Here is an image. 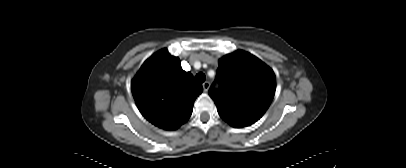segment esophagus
Instances as JSON below:
<instances>
[{
  "label": "esophagus",
  "mask_w": 406,
  "mask_h": 168,
  "mask_svg": "<svg viewBox=\"0 0 406 168\" xmlns=\"http://www.w3.org/2000/svg\"><path fill=\"white\" fill-rule=\"evenodd\" d=\"M202 86H203L204 91L207 92L210 87V83L208 81H206L202 84Z\"/></svg>",
  "instance_id": "34e87169"
}]
</instances>
